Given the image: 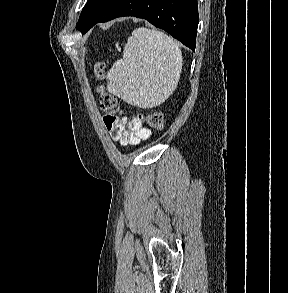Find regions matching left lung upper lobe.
Wrapping results in <instances>:
<instances>
[{
    "instance_id": "left-lung-upper-lobe-1",
    "label": "left lung upper lobe",
    "mask_w": 288,
    "mask_h": 293,
    "mask_svg": "<svg viewBox=\"0 0 288 293\" xmlns=\"http://www.w3.org/2000/svg\"><path fill=\"white\" fill-rule=\"evenodd\" d=\"M118 0H88L76 28L86 33Z\"/></svg>"
}]
</instances>
